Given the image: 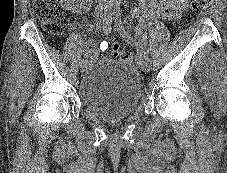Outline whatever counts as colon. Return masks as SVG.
<instances>
[{"mask_svg":"<svg viewBox=\"0 0 227 173\" xmlns=\"http://www.w3.org/2000/svg\"><path fill=\"white\" fill-rule=\"evenodd\" d=\"M212 0H189L191 6L196 10H205ZM34 13L44 24L46 31L54 36L63 32L66 26V17L59 12L54 0H34ZM114 56L127 62L136 60L137 57L131 52H121L118 44H114Z\"/></svg>","mask_w":227,"mask_h":173,"instance_id":"obj_1","label":"colon"}]
</instances>
